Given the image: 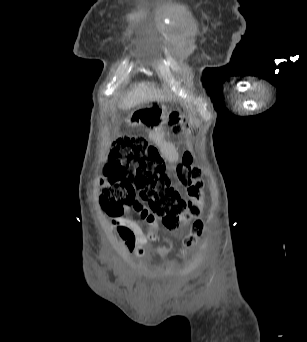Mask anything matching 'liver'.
Instances as JSON below:
<instances>
[{
  "label": "liver",
  "instance_id": "1",
  "mask_svg": "<svg viewBox=\"0 0 307 342\" xmlns=\"http://www.w3.org/2000/svg\"><path fill=\"white\" fill-rule=\"evenodd\" d=\"M169 96L171 94L157 88L154 82H141V84H134L126 98H122L121 108L122 110H131L137 104H145V102H152V100H165Z\"/></svg>",
  "mask_w": 307,
  "mask_h": 342
}]
</instances>
